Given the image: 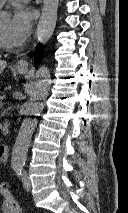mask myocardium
Returning a JSON list of instances; mask_svg holds the SVG:
<instances>
[{
  "label": "myocardium",
  "instance_id": "obj_1",
  "mask_svg": "<svg viewBox=\"0 0 128 213\" xmlns=\"http://www.w3.org/2000/svg\"><path fill=\"white\" fill-rule=\"evenodd\" d=\"M0 46L10 51L16 48L15 44L8 40L2 32H0Z\"/></svg>",
  "mask_w": 128,
  "mask_h": 213
}]
</instances>
